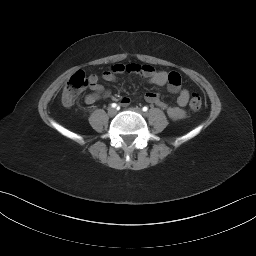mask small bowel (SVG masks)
<instances>
[{"mask_svg": "<svg viewBox=\"0 0 256 256\" xmlns=\"http://www.w3.org/2000/svg\"><path fill=\"white\" fill-rule=\"evenodd\" d=\"M125 72L140 75L150 84L167 86L169 92L178 95L176 106L163 102L160 95L155 92H147L144 95L145 100L163 109L173 120H179L185 116L184 107L188 103L189 92L182 88L181 78L178 73L155 70L152 66L146 64H116L102 73V79L106 82H115L117 75ZM89 79V86L92 92L84 97L86 104L91 105L101 98L110 96V91L99 83L97 75H90ZM118 101L123 107H128L132 103V99L127 96L119 97Z\"/></svg>", "mask_w": 256, "mask_h": 256, "instance_id": "1", "label": "small bowel"}]
</instances>
